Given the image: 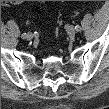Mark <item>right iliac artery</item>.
Wrapping results in <instances>:
<instances>
[{
	"label": "right iliac artery",
	"mask_w": 109,
	"mask_h": 109,
	"mask_svg": "<svg viewBox=\"0 0 109 109\" xmlns=\"http://www.w3.org/2000/svg\"><path fill=\"white\" fill-rule=\"evenodd\" d=\"M25 36H26V33H23V34H22V38L24 39V38H25Z\"/></svg>",
	"instance_id": "82829eb1"
}]
</instances>
